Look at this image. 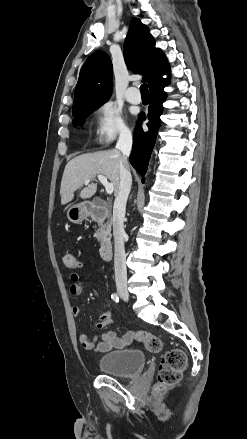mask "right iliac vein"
Returning a JSON list of instances; mask_svg holds the SVG:
<instances>
[{
	"instance_id": "63e3f726",
	"label": "right iliac vein",
	"mask_w": 247,
	"mask_h": 439,
	"mask_svg": "<svg viewBox=\"0 0 247 439\" xmlns=\"http://www.w3.org/2000/svg\"><path fill=\"white\" fill-rule=\"evenodd\" d=\"M118 293L120 295V297L124 300V301H128L129 300V293L127 288L125 287H119L118 288Z\"/></svg>"
}]
</instances>
